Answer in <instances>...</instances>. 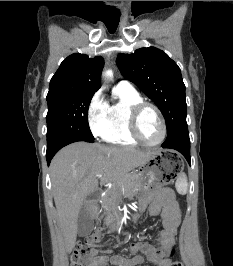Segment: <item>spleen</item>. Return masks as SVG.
I'll list each match as a JSON object with an SVG mask.
<instances>
[{
    "label": "spleen",
    "mask_w": 233,
    "mask_h": 266,
    "mask_svg": "<svg viewBox=\"0 0 233 266\" xmlns=\"http://www.w3.org/2000/svg\"><path fill=\"white\" fill-rule=\"evenodd\" d=\"M176 189L180 194H186L188 189V182L186 174H181L176 181Z\"/></svg>",
    "instance_id": "spleen-1"
}]
</instances>
